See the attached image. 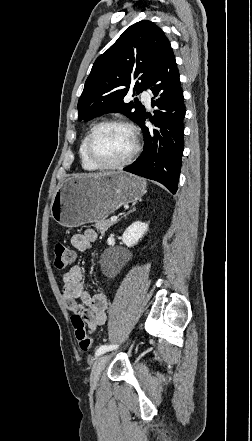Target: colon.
Segmentation results:
<instances>
[{
    "mask_svg": "<svg viewBox=\"0 0 252 441\" xmlns=\"http://www.w3.org/2000/svg\"><path fill=\"white\" fill-rule=\"evenodd\" d=\"M54 251V265L58 269L65 268L73 260V253L63 244H57ZM71 320L80 349L83 351L89 350L92 346V339L86 331L84 320L76 313L72 315Z\"/></svg>",
    "mask_w": 252,
    "mask_h": 441,
    "instance_id": "obj_1",
    "label": "colon"
}]
</instances>
